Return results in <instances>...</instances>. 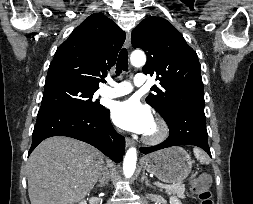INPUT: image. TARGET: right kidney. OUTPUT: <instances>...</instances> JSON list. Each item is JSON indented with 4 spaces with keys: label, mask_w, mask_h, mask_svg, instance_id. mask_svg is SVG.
<instances>
[{
    "label": "right kidney",
    "mask_w": 253,
    "mask_h": 204,
    "mask_svg": "<svg viewBox=\"0 0 253 204\" xmlns=\"http://www.w3.org/2000/svg\"><path fill=\"white\" fill-rule=\"evenodd\" d=\"M78 204H87V203H86V201L83 200V201H81V202L78 203Z\"/></svg>",
    "instance_id": "ca27d5eb"
}]
</instances>
